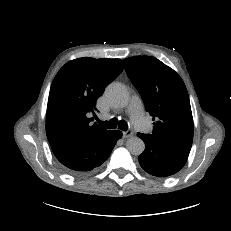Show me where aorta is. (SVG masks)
Masks as SVG:
<instances>
[{
  "mask_svg": "<svg viewBox=\"0 0 231 231\" xmlns=\"http://www.w3.org/2000/svg\"><path fill=\"white\" fill-rule=\"evenodd\" d=\"M108 102L115 107L126 106L129 95L124 85L120 83L110 84L105 91ZM126 147L132 155H140L145 149L144 141L139 137H131L127 140Z\"/></svg>",
  "mask_w": 231,
  "mask_h": 231,
  "instance_id": "762f6f07",
  "label": "aorta"
}]
</instances>
